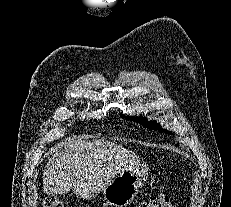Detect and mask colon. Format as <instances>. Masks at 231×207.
<instances>
[{
	"mask_svg": "<svg viewBox=\"0 0 231 207\" xmlns=\"http://www.w3.org/2000/svg\"><path fill=\"white\" fill-rule=\"evenodd\" d=\"M44 207H64V204L58 199H49ZM135 207H172V203L167 195L159 194Z\"/></svg>",
	"mask_w": 231,
	"mask_h": 207,
	"instance_id": "colon-1",
	"label": "colon"
}]
</instances>
